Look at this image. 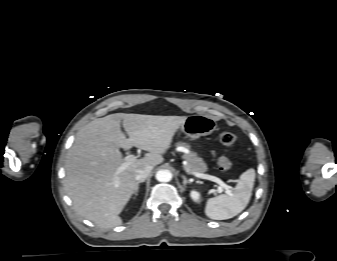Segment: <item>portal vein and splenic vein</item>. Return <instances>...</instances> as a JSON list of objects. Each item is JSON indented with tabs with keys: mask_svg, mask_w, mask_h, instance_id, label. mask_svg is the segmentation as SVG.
I'll return each instance as SVG.
<instances>
[{
	"mask_svg": "<svg viewBox=\"0 0 337 261\" xmlns=\"http://www.w3.org/2000/svg\"><path fill=\"white\" fill-rule=\"evenodd\" d=\"M137 160V157L134 155H127L125 157V162L119 167L118 172L126 169L129 165H131L133 162ZM194 176L202 178V179H207L210 181H213L219 185L218 192H222L223 189L226 190V193L228 195L232 194V187L227 185L225 182H223L220 178L208 175V174H201V173H193Z\"/></svg>",
	"mask_w": 337,
	"mask_h": 261,
	"instance_id": "portal-vein-and-splenic-vein-1",
	"label": "portal vein and splenic vein"
}]
</instances>
